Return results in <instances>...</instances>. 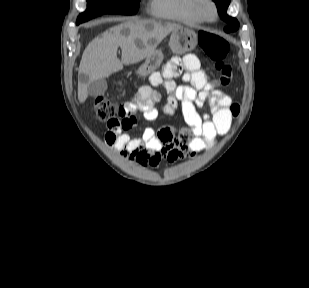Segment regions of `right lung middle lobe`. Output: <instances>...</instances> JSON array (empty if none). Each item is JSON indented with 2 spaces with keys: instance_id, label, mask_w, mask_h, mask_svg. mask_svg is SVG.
<instances>
[{
  "instance_id": "dd1d6c3e",
  "label": "right lung middle lobe",
  "mask_w": 309,
  "mask_h": 288,
  "mask_svg": "<svg viewBox=\"0 0 309 288\" xmlns=\"http://www.w3.org/2000/svg\"><path fill=\"white\" fill-rule=\"evenodd\" d=\"M87 2V10L78 16L77 25L102 14H136L140 0H87Z\"/></svg>"
}]
</instances>
